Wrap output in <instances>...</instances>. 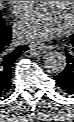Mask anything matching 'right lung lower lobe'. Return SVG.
<instances>
[{"label":"right lung lower lobe","instance_id":"98d812e1","mask_svg":"<svg viewBox=\"0 0 74 122\" xmlns=\"http://www.w3.org/2000/svg\"><path fill=\"white\" fill-rule=\"evenodd\" d=\"M12 30L0 21V96L9 92L14 62L29 48L11 45Z\"/></svg>","mask_w":74,"mask_h":122}]
</instances>
